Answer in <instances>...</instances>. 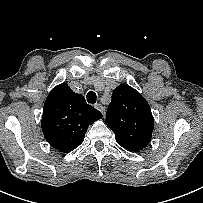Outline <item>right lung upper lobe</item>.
<instances>
[{"label": "right lung upper lobe", "mask_w": 203, "mask_h": 203, "mask_svg": "<svg viewBox=\"0 0 203 203\" xmlns=\"http://www.w3.org/2000/svg\"><path fill=\"white\" fill-rule=\"evenodd\" d=\"M101 118L102 114L88 105L82 94L62 83L46 98L41 126L52 147L60 152H70L83 142L88 126Z\"/></svg>", "instance_id": "cb5924a9"}]
</instances>
